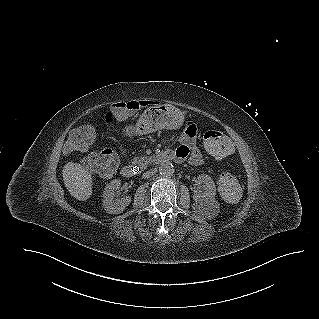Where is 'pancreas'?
<instances>
[{
	"label": "pancreas",
	"mask_w": 319,
	"mask_h": 319,
	"mask_svg": "<svg viewBox=\"0 0 319 319\" xmlns=\"http://www.w3.org/2000/svg\"><path fill=\"white\" fill-rule=\"evenodd\" d=\"M151 160V157L143 156V157H135L133 159V163L137 164L141 168H146Z\"/></svg>",
	"instance_id": "obj_1"
}]
</instances>
